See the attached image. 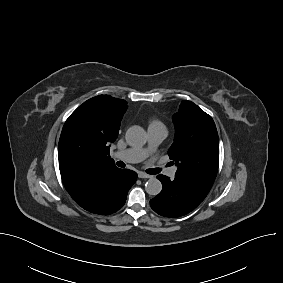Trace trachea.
I'll return each mask as SVG.
<instances>
[{
	"instance_id": "1",
	"label": "trachea",
	"mask_w": 283,
	"mask_h": 283,
	"mask_svg": "<svg viewBox=\"0 0 283 283\" xmlns=\"http://www.w3.org/2000/svg\"><path fill=\"white\" fill-rule=\"evenodd\" d=\"M160 171H161L160 168H152V169L146 170V172H147L148 174H158Z\"/></svg>"
}]
</instances>
